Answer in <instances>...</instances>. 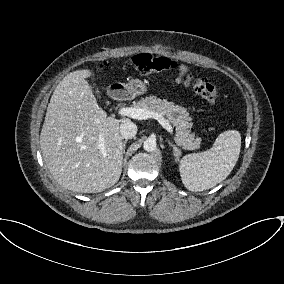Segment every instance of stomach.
Returning <instances> with one entry per match:
<instances>
[{"label":"stomach","instance_id":"obj_1","mask_svg":"<svg viewBox=\"0 0 284 284\" xmlns=\"http://www.w3.org/2000/svg\"><path fill=\"white\" fill-rule=\"evenodd\" d=\"M115 89H124L129 97H136L147 91L146 84L139 79H131L127 83H117L112 86Z\"/></svg>","mask_w":284,"mask_h":284}]
</instances>
